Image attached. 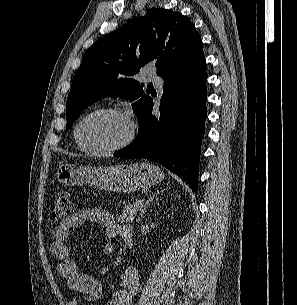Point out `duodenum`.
<instances>
[{
  "label": "duodenum",
  "instance_id": "1",
  "mask_svg": "<svg viewBox=\"0 0 297 305\" xmlns=\"http://www.w3.org/2000/svg\"><path fill=\"white\" fill-rule=\"evenodd\" d=\"M122 239L127 246H131L133 241V229H126L122 233Z\"/></svg>",
  "mask_w": 297,
  "mask_h": 305
}]
</instances>
